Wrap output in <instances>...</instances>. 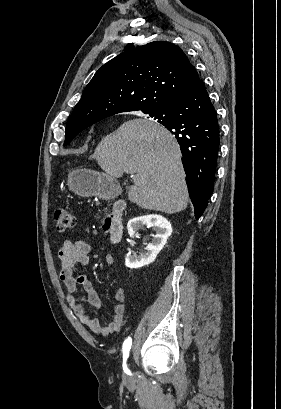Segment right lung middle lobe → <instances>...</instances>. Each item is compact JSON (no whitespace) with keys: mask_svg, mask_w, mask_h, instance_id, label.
<instances>
[{"mask_svg":"<svg viewBox=\"0 0 281 409\" xmlns=\"http://www.w3.org/2000/svg\"><path fill=\"white\" fill-rule=\"evenodd\" d=\"M148 114V113H146ZM158 122H160L161 120H157ZM91 126V125H89ZM89 126H81V127H66V138H65V142H64V146L69 144L72 139L82 130L86 129Z\"/></svg>","mask_w":281,"mask_h":409,"instance_id":"right-lung-middle-lobe-1","label":"right lung middle lobe"}]
</instances>
